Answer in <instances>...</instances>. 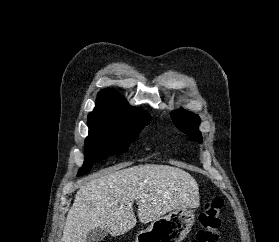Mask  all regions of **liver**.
Here are the masks:
<instances>
[{"mask_svg":"<svg viewBox=\"0 0 279 242\" xmlns=\"http://www.w3.org/2000/svg\"><path fill=\"white\" fill-rule=\"evenodd\" d=\"M117 165L95 173L77 191L60 242H85L95 228L118 236L136 223L133 203L141 223L157 220L177 208L199 206L196 180L183 169L145 164Z\"/></svg>","mask_w":279,"mask_h":242,"instance_id":"obj_1","label":"liver"}]
</instances>
